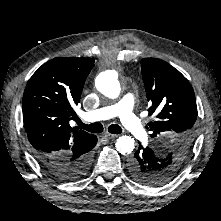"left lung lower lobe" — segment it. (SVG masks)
I'll return each mask as SVG.
<instances>
[{
  "label": "left lung lower lobe",
  "mask_w": 221,
  "mask_h": 221,
  "mask_svg": "<svg viewBox=\"0 0 221 221\" xmlns=\"http://www.w3.org/2000/svg\"><path fill=\"white\" fill-rule=\"evenodd\" d=\"M161 159L157 152L150 147H142L140 144L134 156L130 158L129 170L131 176L143 185L157 186L161 185L156 180L155 175L161 167Z\"/></svg>",
  "instance_id": "0a47b994"
}]
</instances>
